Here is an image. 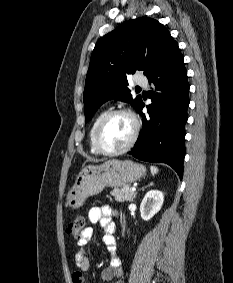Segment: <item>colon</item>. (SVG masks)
Returning a JSON list of instances; mask_svg holds the SVG:
<instances>
[{"label": "colon", "instance_id": "5ec220e1", "mask_svg": "<svg viewBox=\"0 0 233 283\" xmlns=\"http://www.w3.org/2000/svg\"><path fill=\"white\" fill-rule=\"evenodd\" d=\"M85 226V219L83 216H76L66 227V233L72 237L81 236Z\"/></svg>", "mask_w": 233, "mask_h": 283}]
</instances>
